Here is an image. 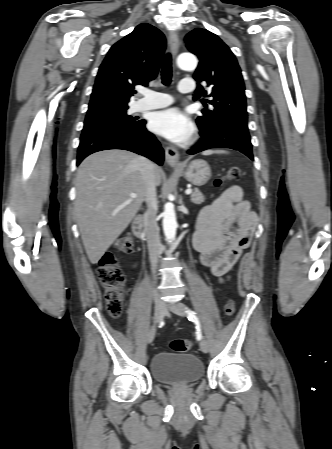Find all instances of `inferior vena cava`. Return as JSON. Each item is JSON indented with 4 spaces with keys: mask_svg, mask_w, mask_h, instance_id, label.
<instances>
[{
    "mask_svg": "<svg viewBox=\"0 0 332 449\" xmlns=\"http://www.w3.org/2000/svg\"><path fill=\"white\" fill-rule=\"evenodd\" d=\"M137 162L146 189L145 202L147 205V210L144 213V224L151 267L153 273H155L158 259L162 251L156 216L157 195L155 185V167L151 161L144 157H139Z\"/></svg>",
    "mask_w": 332,
    "mask_h": 449,
    "instance_id": "inferior-vena-cava-1",
    "label": "inferior vena cava"
}]
</instances>
